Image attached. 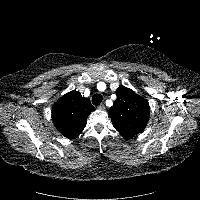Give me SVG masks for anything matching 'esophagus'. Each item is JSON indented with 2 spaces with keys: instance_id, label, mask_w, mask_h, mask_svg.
Listing matches in <instances>:
<instances>
[{
  "instance_id": "1",
  "label": "esophagus",
  "mask_w": 200,
  "mask_h": 200,
  "mask_svg": "<svg viewBox=\"0 0 200 200\" xmlns=\"http://www.w3.org/2000/svg\"><path fill=\"white\" fill-rule=\"evenodd\" d=\"M98 109H99V110H104V109H105V105H104V104H100V105L98 106Z\"/></svg>"
}]
</instances>
